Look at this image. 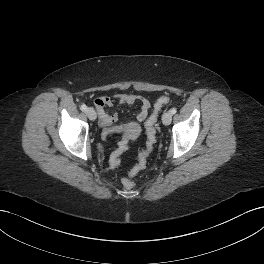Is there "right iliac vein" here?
I'll use <instances>...</instances> for the list:
<instances>
[{
    "label": "right iliac vein",
    "instance_id": "right-iliac-vein-1",
    "mask_svg": "<svg viewBox=\"0 0 264 264\" xmlns=\"http://www.w3.org/2000/svg\"><path fill=\"white\" fill-rule=\"evenodd\" d=\"M86 115L90 120H95L96 119V112L93 108L89 107L85 110Z\"/></svg>",
    "mask_w": 264,
    "mask_h": 264
}]
</instances>
